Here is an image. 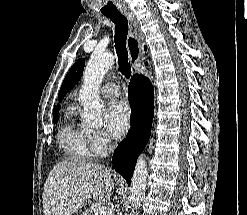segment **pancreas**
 <instances>
[{
    "mask_svg": "<svg viewBox=\"0 0 247 215\" xmlns=\"http://www.w3.org/2000/svg\"><path fill=\"white\" fill-rule=\"evenodd\" d=\"M97 212H98V210L95 209V210H93L92 212L86 211V212H84L83 215H97V214H96ZM93 213H94V214H93Z\"/></svg>",
    "mask_w": 247,
    "mask_h": 215,
    "instance_id": "cf45deb5",
    "label": "pancreas"
}]
</instances>
